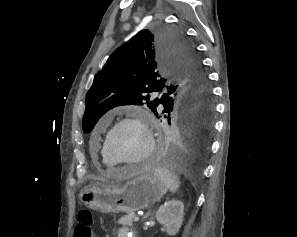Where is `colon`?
Segmentation results:
<instances>
[{
	"label": "colon",
	"instance_id": "1",
	"mask_svg": "<svg viewBox=\"0 0 297 237\" xmlns=\"http://www.w3.org/2000/svg\"><path fill=\"white\" fill-rule=\"evenodd\" d=\"M75 237H94L92 215L88 210H81L78 215Z\"/></svg>",
	"mask_w": 297,
	"mask_h": 237
}]
</instances>
